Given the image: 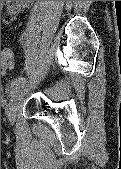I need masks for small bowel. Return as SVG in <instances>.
Segmentation results:
<instances>
[{
	"mask_svg": "<svg viewBox=\"0 0 121 169\" xmlns=\"http://www.w3.org/2000/svg\"><path fill=\"white\" fill-rule=\"evenodd\" d=\"M31 1H4L10 7L11 12H17L26 7Z\"/></svg>",
	"mask_w": 121,
	"mask_h": 169,
	"instance_id": "1",
	"label": "small bowel"
}]
</instances>
